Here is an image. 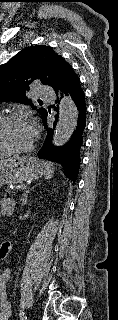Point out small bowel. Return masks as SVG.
<instances>
[{"mask_svg": "<svg viewBox=\"0 0 118 320\" xmlns=\"http://www.w3.org/2000/svg\"><path fill=\"white\" fill-rule=\"evenodd\" d=\"M13 199L10 197L0 198V216L8 215L13 208ZM3 242L0 251L4 252ZM10 249V243L6 242V252ZM12 270L6 269L0 274V320H8L11 315V304L7 296V287L11 279Z\"/></svg>", "mask_w": 118, "mask_h": 320, "instance_id": "small-bowel-1", "label": "small bowel"}]
</instances>
